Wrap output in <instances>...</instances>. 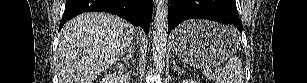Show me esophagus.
<instances>
[{
    "label": "esophagus",
    "mask_w": 307,
    "mask_h": 83,
    "mask_svg": "<svg viewBox=\"0 0 307 83\" xmlns=\"http://www.w3.org/2000/svg\"><path fill=\"white\" fill-rule=\"evenodd\" d=\"M153 2L156 4L158 2V0H154Z\"/></svg>",
    "instance_id": "obj_1"
}]
</instances>
